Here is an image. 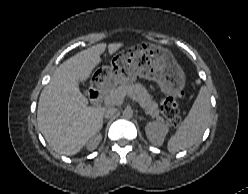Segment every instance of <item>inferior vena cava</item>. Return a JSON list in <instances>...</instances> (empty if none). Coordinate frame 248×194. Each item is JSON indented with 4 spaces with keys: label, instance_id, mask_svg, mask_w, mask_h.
I'll return each instance as SVG.
<instances>
[{
    "label": "inferior vena cava",
    "instance_id": "602c4592",
    "mask_svg": "<svg viewBox=\"0 0 248 194\" xmlns=\"http://www.w3.org/2000/svg\"><path fill=\"white\" fill-rule=\"evenodd\" d=\"M117 112V109L114 107H106L103 109V116L105 118H111L115 113Z\"/></svg>",
    "mask_w": 248,
    "mask_h": 194
}]
</instances>
